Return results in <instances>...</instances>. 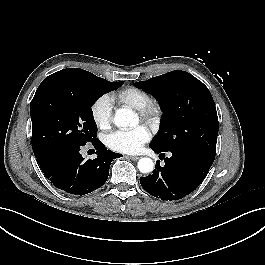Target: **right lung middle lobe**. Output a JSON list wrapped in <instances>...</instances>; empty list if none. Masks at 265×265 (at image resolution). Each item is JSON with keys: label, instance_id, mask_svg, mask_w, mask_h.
Listing matches in <instances>:
<instances>
[{"label": "right lung middle lobe", "instance_id": "obj_1", "mask_svg": "<svg viewBox=\"0 0 265 265\" xmlns=\"http://www.w3.org/2000/svg\"><path fill=\"white\" fill-rule=\"evenodd\" d=\"M123 83L107 81L79 68L46 77L30 104L34 154L94 143L97 126L91 107Z\"/></svg>", "mask_w": 265, "mask_h": 265}]
</instances>
